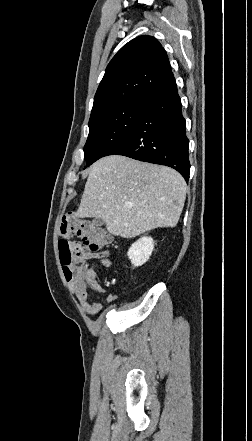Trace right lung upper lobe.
<instances>
[{"instance_id":"1","label":"right lung upper lobe","mask_w":252,"mask_h":441,"mask_svg":"<svg viewBox=\"0 0 252 441\" xmlns=\"http://www.w3.org/2000/svg\"><path fill=\"white\" fill-rule=\"evenodd\" d=\"M174 78L169 59L157 39L137 37L108 64L94 97L91 115L126 101L145 98Z\"/></svg>"}]
</instances>
